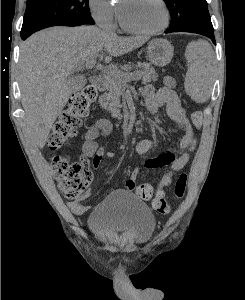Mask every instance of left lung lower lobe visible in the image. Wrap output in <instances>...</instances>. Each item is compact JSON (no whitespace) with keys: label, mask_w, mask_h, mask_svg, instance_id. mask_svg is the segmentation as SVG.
I'll return each mask as SVG.
<instances>
[{"label":"left lung lower lobe","mask_w":245,"mask_h":300,"mask_svg":"<svg viewBox=\"0 0 245 300\" xmlns=\"http://www.w3.org/2000/svg\"><path fill=\"white\" fill-rule=\"evenodd\" d=\"M171 32H191V33H197L204 35L208 38H210L213 43L215 44V37H214V29H206V28H199V27H192V26H184L180 27L174 30H167L166 33H171Z\"/></svg>","instance_id":"0a47b994"}]
</instances>
